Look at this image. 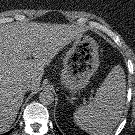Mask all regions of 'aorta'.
Listing matches in <instances>:
<instances>
[{
    "label": "aorta",
    "mask_w": 135,
    "mask_h": 135,
    "mask_svg": "<svg viewBox=\"0 0 135 135\" xmlns=\"http://www.w3.org/2000/svg\"><path fill=\"white\" fill-rule=\"evenodd\" d=\"M39 101L44 105H50L54 102V94L51 91H42L39 95Z\"/></svg>",
    "instance_id": "1"
}]
</instances>
